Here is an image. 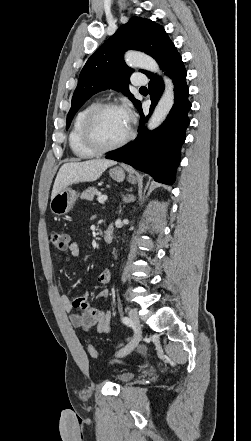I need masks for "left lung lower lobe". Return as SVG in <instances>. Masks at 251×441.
<instances>
[{"label": "left lung lower lobe", "mask_w": 251, "mask_h": 441, "mask_svg": "<svg viewBox=\"0 0 251 441\" xmlns=\"http://www.w3.org/2000/svg\"><path fill=\"white\" fill-rule=\"evenodd\" d=\"M161 69L173 79L175 86V102L166 120L156 130L144 129L145 121L148 120L164 91L163 80L160 76L153 74L149 82V94L152 101L149 115L144 116L141 103L137 106L141 117L138 136L132 143L115 150L105 158L129 164L135 169L150 174L156 181L171 185L175 181L176 169L180 163L181 146L185 141L186 128L190 123L187 115L191 103L188 100L186 69L175 46L169 51Z\"/></svg>", "instance_id": "left-lung-lower-lobe-1"}]
</instances>
